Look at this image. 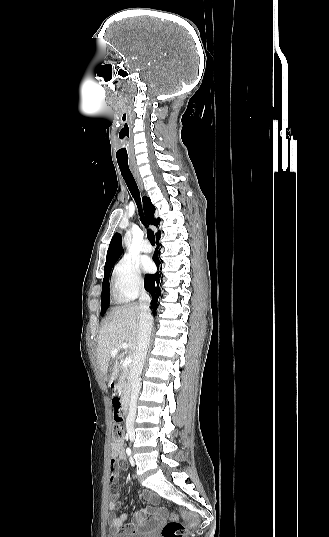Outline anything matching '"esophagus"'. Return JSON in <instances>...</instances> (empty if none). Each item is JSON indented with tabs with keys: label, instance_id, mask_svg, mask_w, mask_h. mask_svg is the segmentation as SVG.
I'll use <instances>...</instances> for the list:
<instances>
[{
	"label": "esophagus",
	"instance_id": "1",
	"mask_svg": "<svg viewBox=\"0 0 329 537\" xmlns=\"http://www.w3.org/2000/svg\"><path fill=\"white\" fill-rule=\"evenodd\" d=\"M131 170H132V172H133V174H134V176H135L140 188L143 189L142 181H141V178L139 176V173H138L137 169L132 167Z\"/></svg>",
	"mask_w": 329,
	"mask_h": 537
}]
</instances>
